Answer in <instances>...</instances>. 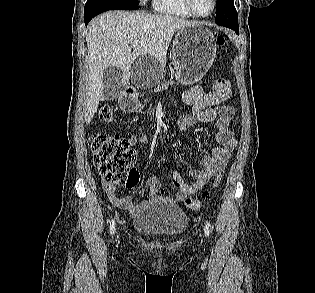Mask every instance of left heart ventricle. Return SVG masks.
<instances>
[{"label":"left heart ventricle","mask_w":315,"mask_h":293,"mask_svg":"<svg viewBox=\"0 0 315 293\" xmlns=\"http://www.w3.org/2000/svg\"><path fill=\"white\" fill-rule=\"evenodd\" d=\"M194 6L198 13L207 14L211 11L212 0H194Z\"/></svg>","instance_id":"left-heart-ventricle-1"}]
</instances>
